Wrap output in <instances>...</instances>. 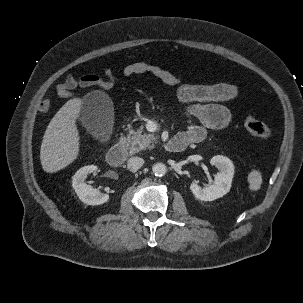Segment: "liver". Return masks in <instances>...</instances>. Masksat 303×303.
I'll list each match as a JSON object with an SVG mask.
<instances>
[{
  "label": "liver",
  "instance_id": "liver-1",
  "mask_svg": "<svg viewBox=\"0 0 303 303\" xmlns=\"http://www.w3.org/2000/svg\"><path fill=\"white\" fill-rule=\"evenodd\" d=\"M80 109L81 99H70L50 121L40 149L41 165L45 172H58L77 159L80 136L76 119Z\"/></svg>",
  "mask_w": 303,
  "mask_h": 303
}]
</instances>
